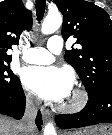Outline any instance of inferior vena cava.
<instances>
[{
  "mask_svg": "<svg viewBox=\"0 0 112 135\" xmlns=\"http://www.w3.org/2000/svg\"><path fill=\"white\" fill-rule=\"evenodd\" d=\"M39 101L33 98H28L25 106V113L20 121L22 135H34L35 119L37 116Z\"/></svg>",
  "mask_w": 112,
  "mask_h": 135,
  "instance_id": "inferior-vena-cava-1",
  "label": "inferior vena cava"
}]
</instances>
